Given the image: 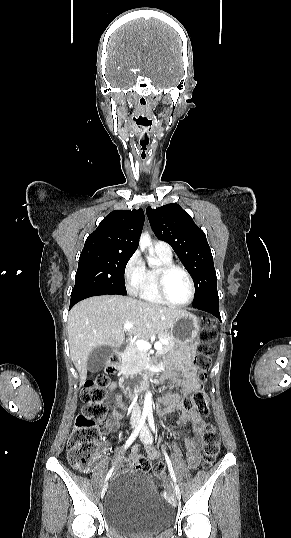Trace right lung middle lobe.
Segmentation results:
<instances>
[{"instance_id": "dd1d6c3e", "label": "right lung middle lobe", "mask_w": 291, "mask_h": 538, "mask_svg": "<svg viewBox=\"0 0 291 538\" xmlns=\"http://www.w3.org/2000/svg\"><path fill=\"white\" fill-rule=\"evenodd\" d=\"M132 255L110 251L82 252L71 300L81 296L126 295L124 273Z\"/></svg>"}]
</instances>
